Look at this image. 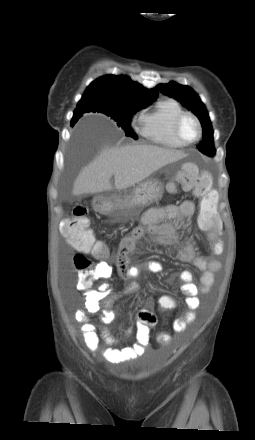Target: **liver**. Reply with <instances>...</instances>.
Masks as SVG:
<instances>
[{
	"mask_svg": "<svg viewBox=\"0 0 255 440\" xmlns=\"http://www.w3.org/2000/svg\"><path fill=\"white\" fill-rule=\"evenodd\" d=\"M185 157L181 151L152 145L104 147L76 178L72 194H96L115 189L123 190L141 182L158 169Z\"/></svg>",
	"mask_w": 255,
	"mask_h": 440,
	"instance_id": "liver-1",
	"label": "liver"
}]
</instances>
